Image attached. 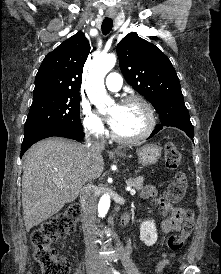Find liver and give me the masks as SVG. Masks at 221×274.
<instances>
[{
	"instance_id": "obj_1",
	"label": "liver",
	"mask_w": 221,
	"mask_h": 274,
	"mask_svg": "<svg viewBox=\"0 0 221 274\" xmlns=\"http://www.w3.org/2000/svg\"><path fill=\"white\" fill-rule=\"evenodd\" d=\"M103 169V157L90 156L80 143L50 138L34 144L25 154L22 176L26 230L73 202L87 182L97 179Z\"/></svg>"
}]
</instances>
